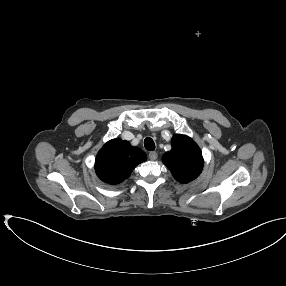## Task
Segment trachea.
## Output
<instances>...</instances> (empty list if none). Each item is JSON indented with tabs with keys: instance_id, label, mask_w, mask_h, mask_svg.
Here are the masks:
<instances>
[{
	"instance_id": "1",
	"label": "trachea",
	"mask_w": 286,
	"mask_h": 286,
	"mask_svg": "<svg viewBox=\"0 0 286 286\" xmlns=\"http://www.w3.org/2000/svg\"><path fill=\"white\" fill-rule=\"evenodd\" d=\"M144 146H145L146 150H148V151H154L155 150V143H154L153 139L150 137L145 138Z\"/></svg>"
}]
</instances>
